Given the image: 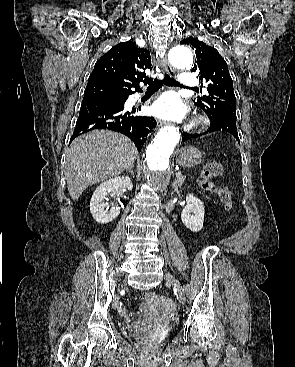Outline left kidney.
Returning <instances> with one entry per match:
<instances>
[{
	"label": "left kidney",
	"instance_id": "left-kidney-1",
	"mask_svg": "<svg viewBox=\"0 0 295 367\" xmlns=\"http://www.w3.org/2000/svg\"><path fill=\"white\" fill-rule=\"evenodd\" d=\"M186 202L187 205L181 213V220L192 232H198L202 229L204 223L205 209L203 202L193 195H187Z\"/></svg>",
	"mask_w": 295,
	"mask_h": 367
}]
</instances>
